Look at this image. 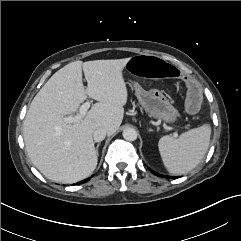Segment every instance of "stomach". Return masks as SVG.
Instances as JSON below:
<instances>
[{
    "mask_svg": "<svg viewBox=\"0 0 241 241\" xmlns=\"http://www.w3.org/2000/svg\"><path fill=\"white\" fill-rule=\"evenodd\" d=\"M134 86L140 105L151 118L169 124L175 123L177 110L161 91L157 89L146 91L137 82H134Z\"/></svg>",
    "mask_w": 241,
    "mask_h": 241,
    "instance_id": "0dacf381",
    "label": "stomach"
}]
</instances>
